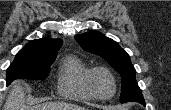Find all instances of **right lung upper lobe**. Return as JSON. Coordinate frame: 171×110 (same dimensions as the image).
<instances>
[{
  "label": "right lung upper lobe",
  "mask_w": 171,
  "mask_h": 110,
  "mask_svg": "<svg viewBox=\"0 0 171 110\" xmlns=\"http://www.w3.org/2000/svg\"><path fill=\"white\" fill-rule=\"evenodd\" d=\"M61 46V39L42 38L29 42L21 51L18 52V54L34 57H51L57 55V51Z\"/></svg>",
  "instance_id": "cb5924a9"
}]
</instances>
